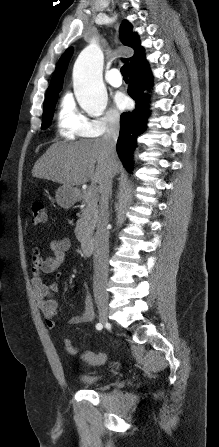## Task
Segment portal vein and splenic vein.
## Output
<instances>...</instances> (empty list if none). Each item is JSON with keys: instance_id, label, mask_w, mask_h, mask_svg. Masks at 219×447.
<instances>
[{"instance_id": "18ae733b", "label": "portal vein and splenic vein", "mask_w": 219, "mask_h": 447, "mask_svg": "<svg viewBox=\"0 0 219 447\" xmlns=\"http://www.w3.org/2000/svg\"><path fill=\"white\" fill-rule=\"evenodd\" d=\"M87 192H88L89 196L96 195V193H97L96 187L95 186H91L90 188H88Z\"/></svg>"}]
</instances>
